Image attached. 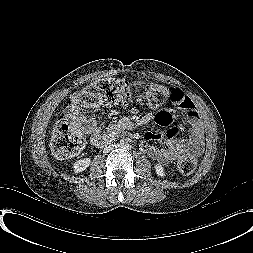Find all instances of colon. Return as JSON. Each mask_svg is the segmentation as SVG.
I'll use <instances>...</instances> for the list:
<instances>
[{
  "label": "colon",
  "mask_w": 253,
  "mask_h": 253,
  "mask_svg": "<svg viewBox=\"0 0 253 253\" xmlns=\"http://www.w3.org/2000/svg\"><path fill=\"white\" fill-rule=\"evenodd\" d=\"M132 100V89L129 83L121 79H102L89 85L79 94V101L87 108L100 106L127 105ZM175 100V92L171 88L150 85L144 93L137 96V101L155 108L166 102ZM70 114L71 110H66ZM84 146V138L79 130L70 122L59 123L53 131L51 149L61 159L78 154ZM196 167V160L186 156L178 161V169L182 174H191Z\"/></svg>",
  "instance_id": "obj_1"
}]
</instances>
